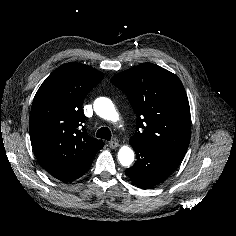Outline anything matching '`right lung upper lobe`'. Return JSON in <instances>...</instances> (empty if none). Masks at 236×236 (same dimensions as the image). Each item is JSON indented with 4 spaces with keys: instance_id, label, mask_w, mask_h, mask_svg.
<instances>
[{
    "instance_id": "1",
    "label": "right lung upper lobe",
    "mask_w": 236,
    "mask_h": 236,
    "mask_svg": "<svg viewBox=\"0 0 236 236\" xmlns=\"http://www.w3.org/2000/svg\"><path fill=\"white\" fill-rule=\"evenodd\" d=\"M103 74L87 65H61L42 83L31 107L29 129L36 158L51 175L93 160L104 143L88 136L82 104Z\"/></svg>"
}]
</instances>
